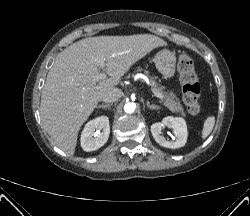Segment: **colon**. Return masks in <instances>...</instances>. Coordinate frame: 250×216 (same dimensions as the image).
<instances>
[{"instance_id":"5ec220e1","label":"colon","mask_w":250,"mask_h":216,"mask_svg":"<svg viewBox=\"0 0 250 216\" xmlns=\"http://www.w3.org/2000/svg\"><path fill=\"white\" fill-rule=\"evenodd\" d=\"M178 71L182 86V97L187 110L192 115L200 112V84L195 71L194 62L187 54H182L178 59Z\"/></svg>"}]
</instances>
